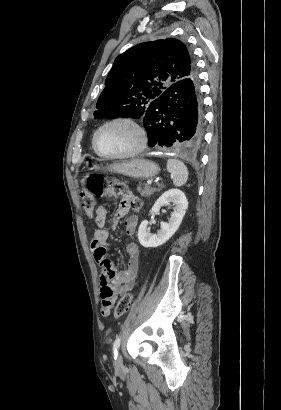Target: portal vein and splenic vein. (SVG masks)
<instances>
[{"label":"portal vein and splenic vein","mask_w":281,"mask_h":410,"mask_svg":"<svg viewBox=\"0 0 281 410\" xmlns=\"http://www.w3.org/2000/svg\"><path fill=\"white\" fill-rule=\"evenodd\" d=\"M147 184H148V185L152 184V180H148V181H147Z\"/></svg>","instance_id":"1"}]
</instances>
